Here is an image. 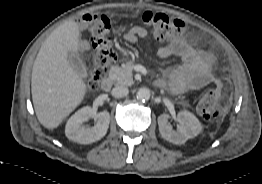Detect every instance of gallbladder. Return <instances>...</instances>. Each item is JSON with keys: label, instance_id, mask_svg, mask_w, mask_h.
Here are the masks:
<instances>
[{"label": "gallbladder", "instance_id": "bac80fb5", "mask_svg": "<svg viewBox=\"0 0 262 184\" xmlns=\"http://www.w3.org/2000/svg\"><path fill=\"white\" fill-rule=\"evenodd\" d=\"M68 60L70 62L71 67L73 68L74 72L80 77H87V68L85 67L84 63L80 59V57L74 53H70L68 56Z\"/></svg>", "mask_w": 262, "mask_h": 184}]
</instances>
